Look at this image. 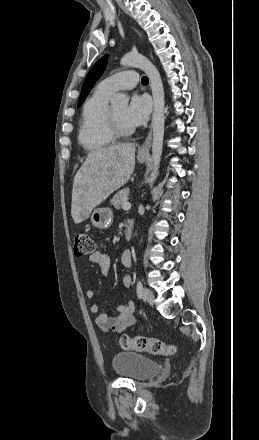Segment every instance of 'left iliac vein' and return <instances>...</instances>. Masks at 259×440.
I'll use <instances>...</instances> for the list:
<instances>
[{"label": "left iliac vein", "instance_id": "4c4485c4", "mask_svg": "<svg viewBox=\"0 0 259 440\" xmlns=\"http://www.w3.org/2000/svg\"><path fill=\"white\" fill-rule=\"evenodd\" d=\"M144 298L148 304L153 305L155 297H154V294L151 290H149L147 288L144 289Z\"/></svg>", "mask_w": 259, "mask_h": 440}]
</instances>
